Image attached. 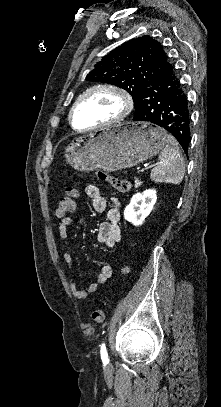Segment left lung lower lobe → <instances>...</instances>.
I'll use <instances>...</instances> for the list:
<instances>
[{"mask_svg":"<svg viewBox=\"0 0 221 407\" xmlns=\"http://www.w3.org/2000/svg\"><path fill=\"white\" fill-rule=\"evenodd\" d=\"M133 120L161 126L178 140L187 153L190 141L189 103L174 65L170 64L143 88Z\"/></svg>","mask_w":221,"mask_h":407,"instance_id":"1","label":"left lung lower lobe"}]
</instances>
